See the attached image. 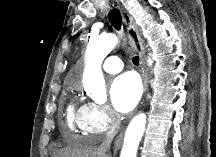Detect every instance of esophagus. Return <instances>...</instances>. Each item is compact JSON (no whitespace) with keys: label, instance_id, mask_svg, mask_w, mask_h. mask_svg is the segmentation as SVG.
I'll use <instances>...</instances> for the list:
<instances>
[{"label":"esophagus","instance_id":"34e87169","mask_svg":"<svg viewBox=\"0 0 216 157\" xmlns=\"http://www.w3.org/2000/svg\"><path fill=\"white\" fill-rule=\"evenodd\" d=\"M119 10L121 12L123 21L126 24V27H127V30H128V35L133 40L134 47L137 50V52L139 54V57H140L142 81H143V90H144V93H146L147 90H148V84H147V71H146L145 60H144V55H145L144 41H143V39L141 37V33H140L139 29H138V26L135 23L132 16L122 7H119ZM122 140H123V132H121L114 141L113 149L115 151L120 148Z\"/></svg>","mask_w":216,"mask_h":157}]
</instances>
